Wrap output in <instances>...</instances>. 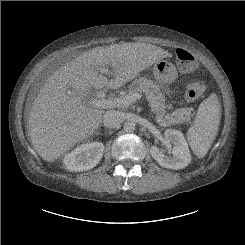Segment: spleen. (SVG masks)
Returning <instances> with one entry per match:
<instances>
[{"label": "spleen", "mask_w": 245, "mask_h": 245, "mask_svg": "<svg viewBox=\"0 0 245 245\" xmlns=\"http://www.w3.org/2000/svg\"><path fill=\"white\" fill-rule=\"evenodd\" d=\"M220 118V102L216 94H211L198 107L195 122L187 132L189 145L197 157L207 154L218 133Z\"/></svg>", "instance_id": "obj_1"}]
</instances>
